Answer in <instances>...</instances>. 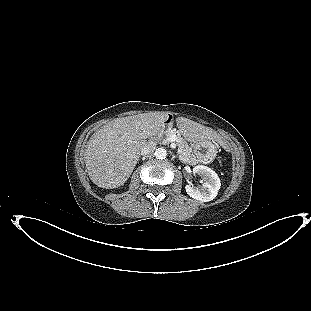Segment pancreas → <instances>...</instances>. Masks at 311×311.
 Segmentation results:
<instances>
[{
	"label": "pancreas",
	"instance_id": "pancreas-1",
	"mask_svg": "<svg viewBox=\"0 0 311 311\" xmlns=\"http://www.w3.org/2000/svg\"><path fill=\"white\" fill-rule=\"evenodd\" d=\"M165 136L168 138L170 135H176L177 137V144L179 147V155L183 156L186 159L187 163H194L198 160L196 159L195 155L192 153V149L188 146L187 142L181 137L180 132L176 131L175 129H167L164 131ZM157 141H160L161 138L159 136L156 137ZM166 141V140H164Z\"/></svg>",
	"mask_w": 311,
	"mask_h": 311
}]
</instances>
